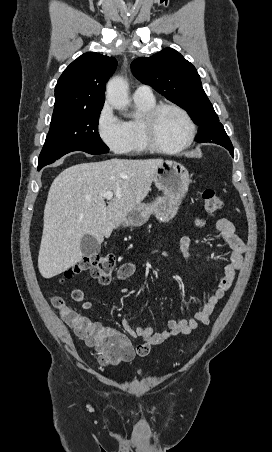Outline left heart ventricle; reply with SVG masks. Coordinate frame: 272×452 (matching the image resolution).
Instances as JSON below:
<instances>
[{
    "label": "left heart ventricle",
    "instance_id": "obj_1",
    "mask_svg": "<svg viewBox=\"0 0 272 452\" xmlns=\"http://www.w3.org/2000/svg\"><path fill=\"white\" fill-rule=\"evenodd\" d=\"M187 124L183 116L175 110L165 109L155 122V137L166 147H174L182 143L187 135Z\"/></svg>",
    "mask_w": 272,
    "mask_h": 452
}]
</instances>
